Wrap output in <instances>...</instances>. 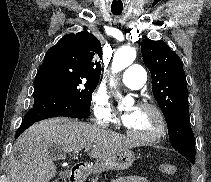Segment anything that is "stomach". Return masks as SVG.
Segmentation results:
<instances>
[{
	"label": "stomach",
	"instance_id": "0dacf381",
	"mask_svg": "<svg viewBox=\"0 0 211 182\" xmlns=\"http://www.w3.org/2000/svg\"><path fill=\"white\" fill-rule=\"evenodd\" d=\"M135 161V155L130 150L122 151L113 157L103 160L100 163H97L93 171L95 173H100L106 170H117L122 171L128 169Z\"/></svg>",
	"mask_w": 211,
	"mask_h": 182
}]
</instances>
